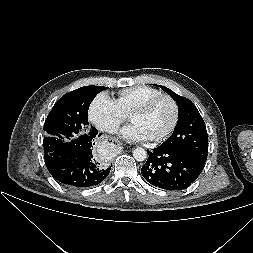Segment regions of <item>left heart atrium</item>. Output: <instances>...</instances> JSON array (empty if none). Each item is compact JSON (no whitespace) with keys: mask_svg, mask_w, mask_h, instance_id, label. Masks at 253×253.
Listing matches in <instances>:
<instances>
[{"mask_svg":"<svg viewBox=\"0 0 253 253\" xmlns=\"http://www.w3.org/2000/svg\"><path fill=\"white\" fill-rule=\"evenodd\" d=\"M121 135L124 139L135 142L151 139L148 133L139 124L134 122L124 127L121 131Z\"/></svg>","mask_w":253,"mask_h":253,"instance_id":"1","label":"left heart atrium"}]
</instances>
